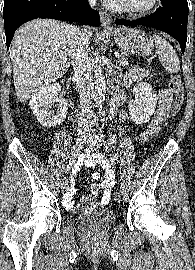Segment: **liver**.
Instances as JSON below:
<instances>
[{
  "instance_id": "obj_1",
  "label": "liver",
  "mask_w": 195,
  "mask_h": 270,
  "mask_svg": "<svg viewBox=\"0 0 195 270\" xmlns=\"http://www.w3.org/2000/svg\"><path fill=\"white\" fill-rule=\"evenodd\" d=\"M77 31V27L53 19H36L16 31L9 51L20 102L29 100L67 72ZM87 32L93 35L91 29Z\"/></svg>"
}]
</instances>
